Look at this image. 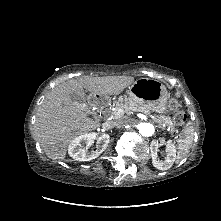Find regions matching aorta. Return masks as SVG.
<instances>
[{
	"instance_id": "obj_1",
	"label": "aorta",
	"mask_w": 221,
	"mask_h": 221,
	"mask_svg": "<svg viewBox=\"0 0 221 221\" xmlns=\"http://www.w3.org/2000/svg\"><path fill=\"white\" fill-rule=\"evenodd\" d=\"M139 132L144 137H150L154 134L155 128L151 123H141L139 125Z\"/></svg>"
}]
</instances>
